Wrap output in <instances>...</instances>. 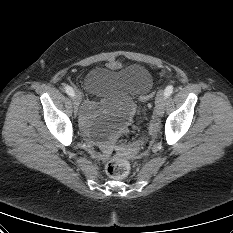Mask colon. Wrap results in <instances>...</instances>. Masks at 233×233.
<instances>
[{"label": "colon", "mask_w": 233, "mask_h": 233, "mask_svg": "<svg viewBox=\"0 0 233 233\" xmlns=\"http://www.w3.org/2000/svg\"><path fill=\"white\" fill-rule=\"evenodd\" d=\"M153 97L152 93H149L141 98L142 102L147 103L149 102ZM144 144V139L139 138L136 142L123 146L119 149L120 152L123 154H138L142 146ZM106 172L109 177L114 179H122L125 178L129 172H130V164L127 160L121 157H117L112 159L107 165H106Z\"/></svg>", "instance_id": "colon-1"}]
</instances>
